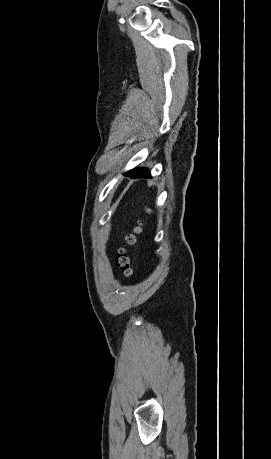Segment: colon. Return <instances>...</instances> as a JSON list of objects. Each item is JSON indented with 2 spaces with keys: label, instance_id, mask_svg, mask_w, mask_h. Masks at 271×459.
Wrapping results in <instances>:
<instances>
[{
  "label": "colon",
  "instance_id": "1",
  "mask_svg": "<svg viewBox=\"0 0 271 459\" xmlns=\"http://www.w3.org/2000/svg\"><path fill=\"white\" fill-rule=\"evenodd\" d=\"M135 240V235L134 233L127 234L124 237V244L122 247H120L116 253L115 256V264L116 266L121 269L124 274L130 275L132 273V265H131V259L129 255L126 252L125 246L132 244Z\"/></svg>",
  "mask_w": 271,
  "mask_h": 459
}]
</instances>
